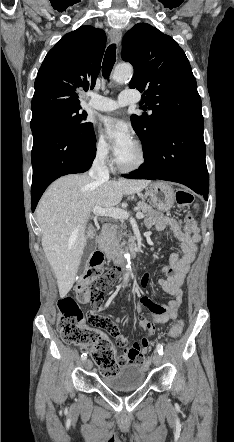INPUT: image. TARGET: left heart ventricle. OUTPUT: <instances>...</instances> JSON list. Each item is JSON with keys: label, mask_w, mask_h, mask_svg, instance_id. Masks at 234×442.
Returning <instances> with one entry per match:
<instances>
[{"label": "left heart ventricle", "mask_w": 234, "mask_h": 442, "mask_svg": "<svg viewBox=\"0 0 234 442\" xmlns=\"http://www.w3.org/2000/svg\"><path fill=\"white\" fill-rule=\"evenodd\" d=\"M137 158H138L137 150L134 145L129 151H127L125 154L120 156L118 160L124 165H131L136 162Z\"/></svg>", "instance_id": "obj_1"}]
</instances>
